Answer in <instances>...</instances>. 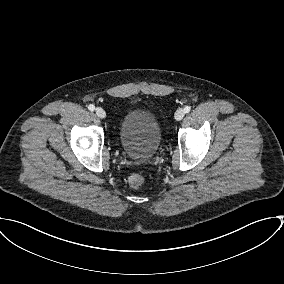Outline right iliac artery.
I'll use <instances>...</instances> for the list:
<instances>
[{
	"label": "right iliac artery",
	"mask_w": 284,
	"mask_h": 284,
	"mask_svg": "<svg viewBox=\"0 0 284 284\" xmlns=\"http://www.w3.org/2000/svg\"><path fill=\"white\" fill-rule=\"evenodd\" d=\"M88 109H89L90 111H94L95 106H94V105H92V104H90V105L88 106Z\"/></svg>",
	"instance_id": "1"
}]
</instances>
